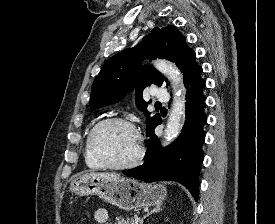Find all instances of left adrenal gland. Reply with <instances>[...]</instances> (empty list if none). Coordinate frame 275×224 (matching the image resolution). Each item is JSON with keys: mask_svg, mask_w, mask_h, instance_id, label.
I'll list each match as a JSON object with an SVG mask.
<instances>
[{"mask_svg": "<svg viewBox=\"0 0 275 224\" xmlns=\"http://www.w3.org/2000/svg\"><path fill=\"white\" fill-rule=\"evenodd\" d=\"M161 211V207L157 206L154 209H152L147 215H145L141 220L139 224H143L144 219H146V217H148L149 215L153 214V213H157Z\"/></svg>", "mask_w": 275, "mask_h": 224, "instance_id": "a2214340", "label": "left adrenal gland"}]
</instances>
